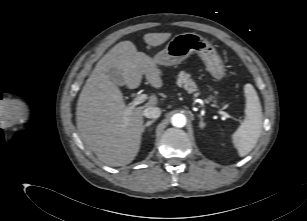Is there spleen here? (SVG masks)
<instances>
[{"instance_id":"1","label":"spleen","mask_w":307,"mask_h":221,"mask_svg":"<svg viewBox=\"0 0 307 221\" xmlns=\"http://www.w3.org/2000/svg\"><path fill=\"white\" fill-rule=\"evenodd\" d=\"M246 97L245 119L236 132L232 141L239 156L244 157L256 146L262 132V108L256 90L251 84L244 86Z\"/></svg>"}]
</instances>
